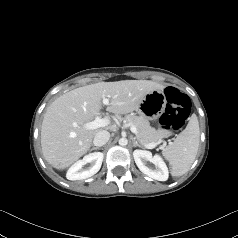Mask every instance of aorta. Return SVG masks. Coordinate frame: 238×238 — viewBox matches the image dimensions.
Listing matches in <instances>:
<instances>
[{
	"instance_id": "762f6f07",
	"label": "aorta",
	"mask_w": 238,
	"mask_h": 238,
	"mask_svg": "<svg viewBox=\"0 0 238 238\" xmlns=\"http://www.w3.org/2000/svg\"><path fill=\"white\" fill-rule=\"evenodd\" d=\"M128 144V140L126 138L119 139V145L126 146Z\"/></svg>"
}]
</instances>
